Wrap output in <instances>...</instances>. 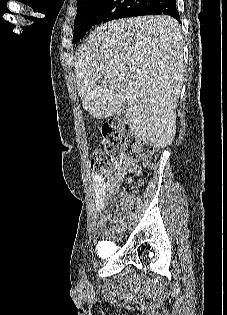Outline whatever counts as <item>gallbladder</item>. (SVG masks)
I'll use <instances>...</instances> for the list:
<instances>
[{
  "label": "gallbladder",
  "mask_w": 227,
  "mask_h": 315,
  "mask_svg": "<svg viewBox=\"0 0 227 315\" xmlns=\"http://www.w3.org/2000/svg\"><path fill=\"white\" fill-rule=\"evenodd\" d=\"M117 119L120 122H126L127 120L126 112L122 110L121 113L117 116Z\"/></svg>",
  "instance_id": "gallbladder-1"
}]
</instances>
